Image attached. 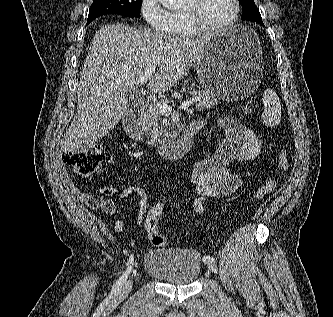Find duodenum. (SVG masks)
Here are the masks:
<instances>
[{"label": "duodenum", "instance_id": "duodenum-1", "mask_svg": "<svg viewBox=\"0 0 333 317\" xmlns=\"http://www.w3.org/2000/svg\"><path fill=\"white\" fill-rule=\"evenodd\" d=\"M146 105H137L124 118V129L131 139L137 142L145 141L144 118ZM203 124L199 120L191 121L179 138L164 142L158 146V152L162 158L175 161L183 157L191 148L193 141L200 132Z\"/></svg>", "mask_w": 333, "mask_h": 317}]
</instances>
